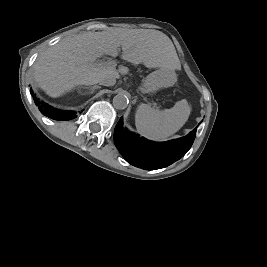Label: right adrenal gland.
<instances>
[{
  "label": "right adrenal gland",
  "instance_id": "right-adrenal-gland-1",
  "mask_svg": "<svg viewBox=\"0 0 267 267\" xmlns=\"http://www.w3.org/2000/svg\"><path fill=\"white\" fill-rule=\"evenodd\" d=\"M84 88L89 89V90H90V93L93 94L94 91H95L96 89L101 88V86H99V85H94V86H88V87H84Z\"/></svg>",
  "mask_w": 267,
  "mask_h": 267
}]
</instances>
